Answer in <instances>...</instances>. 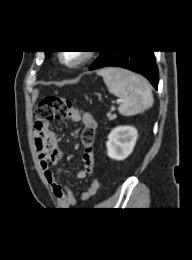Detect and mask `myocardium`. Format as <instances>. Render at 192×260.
<instances>
[{"label": "myocardium", "mask_w": 192, "mask_h": 260, "mask_svg": "<svg viewBox=\"0 0 192 260\" xmlns=\"http://www.w3.org/2000/svg\"><path fill=\"white\" fill-rule=\"evenodd\" d=\"M78 52H79V56L74 61H68L65 59L66 52H61L59 54V59L64 65L71 67V68H77V67L83 65L84 63H86L91 58V55H92V53L90 51H78Z\"/></svg>", "instance_id": "1"}]
</instances>
